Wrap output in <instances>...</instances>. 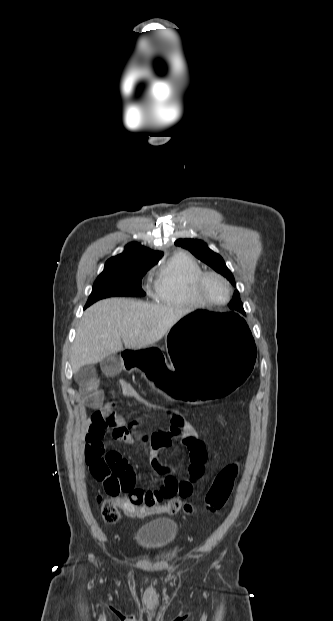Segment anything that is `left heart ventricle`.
Here are the masks:
<instances>
[{"mask_svg": "<svg viewBox=\"0 0 333 621\" xmlns=\"http://www.w3.org/2000/svg\"><path fill=\"white\" fill-rule=\"evenodd\" d=\"M204 294L213 301L224 300L227 294L226 286L224 283L214 277H209L205 280L203 285Z\"/></svg>", "mask_w": 333, "mask_h": 621, "instance_id": "obj_1", "label": "left heart ventricle"}]
</instances>
